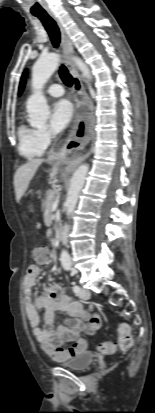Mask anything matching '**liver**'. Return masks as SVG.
Listing matches in <instances>:
<instances>
[{
  "instance_id": "6515ba94",
  "label": "liver",
  "mask_w": 155,
  "mask_h": 413,
  "mask_svg": "<svg viewBox=\"0 0 155 413\" xmlns=\"http://www.w3.org/2000/svg\"><path fill=\"white\" fill-rule=\"evenodd\" d=\"M44 159H31L20 166L14 175L16 201L19 202Z\"/></svg>"
}]
</instances>
